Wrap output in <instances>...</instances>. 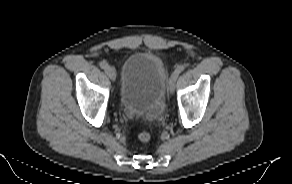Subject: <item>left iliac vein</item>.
<instances>
[{"label":"left iliac vein","instance_id":"left-iliac-vein-1","mask_svg":"<svg viewBox=\"0 0 292 184\" xmlns=\"http://www.w3.org/2000/svg\"><path fill=\"white\" fill-rule=\"evenodd\" d=\"M177 77H178V74L173 72L171 77H170V80H169V85H168V92L170 94H173L174 90H175V82L177 80Z\"/></svg>","mask_w":292,"mask_h":184}]
</instances>
